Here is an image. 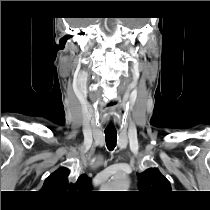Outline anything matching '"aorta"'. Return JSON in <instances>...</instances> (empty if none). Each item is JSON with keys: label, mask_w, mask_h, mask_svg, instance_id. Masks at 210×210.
Segmentation results:
<instances>
[{"label": "aorta", "mask_w": 210, "mask_h": 210, "mask_svg": "<svg viewBox=\"0 0 210 210\" xmlns=\"http://www.w3.org/2000/svg\"><path fill=\"white\" fill-rule=\"evenodd\" d=\"M129 183V177L126 174L118 173L111 178L105 188L111 189V191H126L129 187Z\"/></svg>", "instance_id": "aorta-1"}]
</instances>
